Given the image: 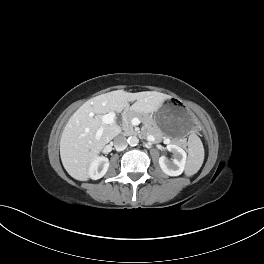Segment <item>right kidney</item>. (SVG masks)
Instances as JSON below:
<instances>
[{"label": "right kidney", "mask_w": 264, "mask_h": 264, "mask_svg": "<svg viewBox=\"0 0 264 264\" xmlns=\"http://www.w3.org/2000/svg\"><path fill=\"white\" fill-rule=\"evenodd\" d=\"M109 167V160L106 157L95 158L89 166V176L93 180L102 178Z\"/></svg>", "instance_id": "right-kidney-1"}]
</instances>
